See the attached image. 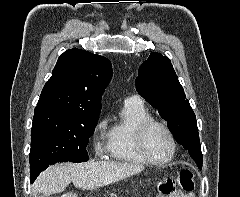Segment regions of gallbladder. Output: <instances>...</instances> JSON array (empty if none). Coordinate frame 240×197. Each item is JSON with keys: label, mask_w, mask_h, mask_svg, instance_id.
I'll list each match as a JSON object with an SVG mask.
<instances>
[{"label": "gallbladder", "mask_w": 240, "mask_h": 197, "mask_svg": "<svg viewBox=\"0 0 240 197\" xmlns=\"http://www.w3.org/2000/svg\"><path fill=\"white\" fill-rule=\"evenodd\" d=\"M36 197H45L43 194L39 193Z\"/></svg>", "instance_id": "bac80fb5"}]
</instances>
